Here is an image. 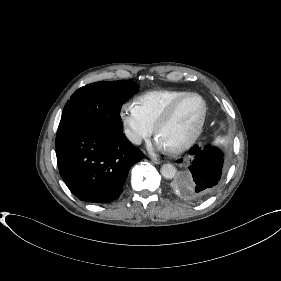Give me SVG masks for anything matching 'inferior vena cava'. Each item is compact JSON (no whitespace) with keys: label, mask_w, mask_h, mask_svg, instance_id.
I'll list each match as a JSON object with an SVG mask.
<instances>
[{"label":"inferior vena cava","mask_w":281,"mask_h":281,"mask_svg":"<svg viewBox=\"0 0 281 281\" xmlns=\"http://www.w3.org/2000/svg\"><path fill=\"white\" fill-rule=\"evenodd\" d=\"M126 136L127 138L134 144H141V137L129 130H127L126 132Z\"/></svg>","instance_id":"inferior-vena-cava-1"}]
</instances>
